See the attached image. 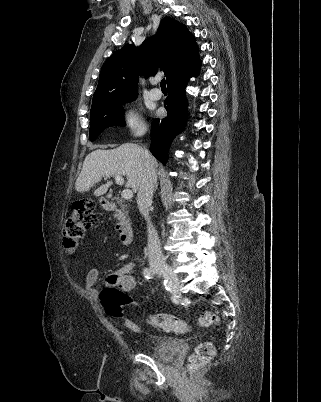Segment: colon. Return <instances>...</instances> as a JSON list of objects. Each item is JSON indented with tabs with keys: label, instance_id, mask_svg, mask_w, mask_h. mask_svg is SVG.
Listing matches in <instances>:
<instances>
[{
	"label": "colon",
	"instance_id": "1",
	"mask_svg": "<svg viewBox=\"0 0 321 402\" xmlns=\"http://www.w3.org/2000/svg\"><path fill=\"white\" fill-rule=\"evenodd\" d=\"M96 221L95 207L92 202L82 201L72 205L67 214L63 229L64 245L70 253L77 250L85 232L93 228ZM100 299L105 312L113 318L123 317V309L131 301L130 296L125 291L115 286L104 288ZM150 322L163 331L182 333L189 328L184 320L165 313L153 314L150 317ZM218 322V316L211 311L202 312L198 318V323L202 327L214 326ZM214 355L215 348L212 343L204 342L199 344L188 359L187 370L191 373L198 371Z\"/></svg>",
	"mask_w": 321,
	"mask_h": 402
}]
</instances>
